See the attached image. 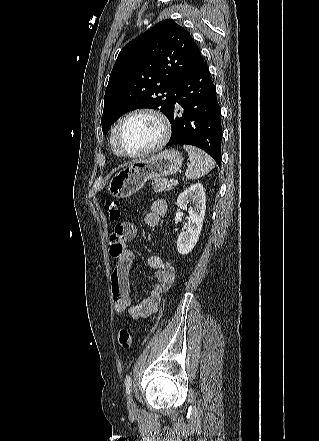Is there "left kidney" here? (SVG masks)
Returning <instances> with one entry per match:
<instances>
[{
	"label": "left kidney",
	"mask_w": 319,
	"mask_h": 441,
	"mask_svg": "<svg viewBox=\"0 0 319 441\" xmlns=\"http://www.w3.org/2000/svg\"><path fill=\"white\" fill-rule=\"evenodd\" d=\"M191 202L193 207L189 208L188 226L182 231L177 239V250L180 254H188L197 244L201 233L202 224L206 210V197L203 185L195 183L184 190L177 199V207L187 210V204Z\"/></svg>",
	"instance_id": "5707ae66"
}]
</instances>
